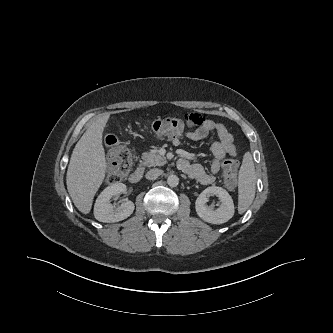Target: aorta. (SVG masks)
I'll list each match as a JSON object with an SVG mask.
<instances>
[{
    "label": "aorta",
    "instance_id": "aorta-1",
    "mask_svg": "<svg viewBox=\"0 0 333 333\" xmlns=\"http://www.w3.org/2000/svg\"><path fill=\"white\" fill-rule=\"evenodd\" d=\"M167 183L170 187H176L179 184V178L176 175H170L167 178Z\"/></svg>",
    "mask_w": 333,
    "mask_h": 333
}]
</instances>
